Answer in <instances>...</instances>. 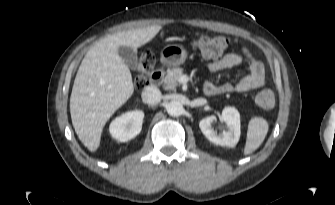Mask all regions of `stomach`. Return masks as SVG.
<instances>
[{
  "label": "stomach",
  "mask_w": 335,
  "mask_h": 205,
  "mask_svg": "<svg viewBox=\"0 0 335 205\" xmlns=\"http://www.w3.org/2000/svg\"><path fill=\"white\" fill-rule=\"evenodd\" d=\"M187 58L186 50L180 45H167L160 53V60L167 66H178L185 62Z\"/></svg>",
  "instance_id": "0dacf381"
}]
</instances>
